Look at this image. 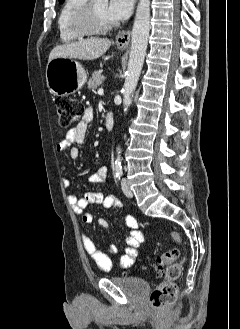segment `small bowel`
<instances>
[{
  "label": "small bowel",
  "instance_id": "small-bowel-1",
  "mask_svg": "<svg viewBox=\"0 0 240 329\" xmlns=\"http://www.w3.org/2000/svg\"><path fill=\"white\" fill-rule=\"evenodd\" d=\"M93 117V108H85L77 125L69 129L65 135V138L56 145V152L63 153L68 150L71 159H78L80 157V151L75 147V144H82L85 141L87 129L89 124L92 122ZM107 174L108 168L106 166H102L88 178V183L105 184L107 181ZM63 184L67 187L69 186L70 181L68 179H64ZM68 201L72 209L80 215L81 220L84 223H91L93 221L92 213L85 210L89 204H101L105 208H120L122 206L121 200L116 196L105 195L99 191L87 192L83 197H79L78 195L71 193L68 195ZM124 222L130 233L125 238L126 247L124 249L123 256L118 261V265L122 269L131 267L136 268L138 247L143 242L144 235L139 229V225L135 217L126 215L124 217ZM98 224L101 227L108 228V223L105 219H98ZM81 241L84 251L94 265L103 272L110 271L113 266V262L111 258L100 249V245L95 243L86 233L82 234ZM106 250L110 254H115L118 249L116 245L109 244L106 247Z\"/></svg>",
  "mask_w": 240,
  "mask_h": 329
}]
</instances>
